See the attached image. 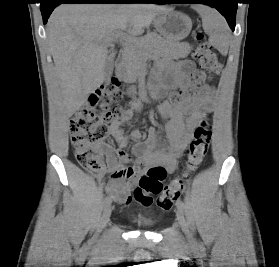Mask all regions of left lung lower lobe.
Returning <instances> with one entry per match:
<instances>
[{"mask_svg": "<svg viewBox=\"0 0 279 267\" xmlns=\"http://www.w3.org/2000/svg\"><path fill=\"white\" fill-rule=\"evenodd\" d=\"M145 3L168 4V3H200L208 4L216 8L226 18L232 31L235 29L237 0H147Z\"/></svg>", "mask_w": 279, "mask_h": 267, "instance_id": "0a47b994", "label": "left lung lower lobe"}]
</instances>
